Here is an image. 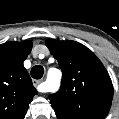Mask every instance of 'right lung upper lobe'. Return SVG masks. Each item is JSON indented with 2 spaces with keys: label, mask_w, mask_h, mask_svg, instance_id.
Listing matches in <instances>:
<instances>
[{
  "label": "right lung upper lobe",
  "mask_w": 119,
  "mask_h": 119,
  "mask_svg": "<svg viewBox=\"0 0 119 119\" xmlns=\"http://www.w3.org/2000/svg\"><path fill=\"white\" fill-rule=\"evenodd\" d=\"M32 42L0 44V119H24L37 90L23 66Z\"/></svg>",
  "instance_id": "1"
}]
</instances>
